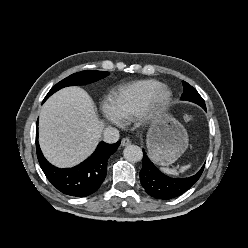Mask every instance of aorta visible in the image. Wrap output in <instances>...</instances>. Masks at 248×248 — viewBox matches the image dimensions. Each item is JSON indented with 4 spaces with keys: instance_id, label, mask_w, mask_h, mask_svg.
<instances>
[{
    "instance_id": "1",
    "label": "aorta",
    "mask_w": 248,
    "mask_h": 248,
    "mask_svg": "<svg viewBox=\"0 0 248 248\" xmlns=\"http://www.w3.org/2000/svg\"><path fill=\"white\" fill-rule=\"evenodd\" d=\"M123 155L127 161L135 163L142 160L143 152L137 145H128L124 148Z\"/></svg>"
}]
</instances>
